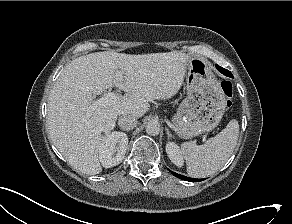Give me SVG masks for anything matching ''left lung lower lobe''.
I'll return each instance as SVG.
<instances>
[{"mask_svg": "<svg viewBox=\"0 0 292 224\" xmlns=\"http://www.w3.org/2000/svg\"><path fill=\"white\" fill-rule=\"evenodd\" d=\"M217 69L220 71V72H224L223 71V68H221L220 66L216 65ZM172 174L177 177V178H180V179H183V180H186V181H189V182H197V181H201V179H195V178H190V177H186V176H183L181 174H178V173H174L172 172Z\"/></svg>", "mask_w": 292, "mask_h": 224, "instance_id": "1", "label": "left lung lower lobe"}]
</instances>
